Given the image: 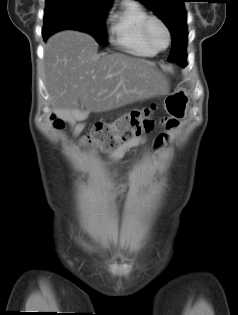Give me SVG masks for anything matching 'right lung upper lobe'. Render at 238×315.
<instances>
[{
    "instance_id": "cb5924a9",
    "label": "right lung upper lobe",
    "mask_w": 238,
    "mask_h": 315,
    "mask_svg": "<svg viewBox=\"0 0 238 315\" xmlns=\"http://www.w3.org/2000/svg\"><path fill=\"white\" fill-rule=\"evenodd\" d=\"M92 1H95V2H98V3H102V4H105V5H109V6H111V3H112V0H92Z\"/></svg>"
}]
</instances>
